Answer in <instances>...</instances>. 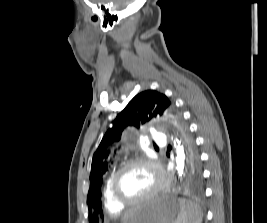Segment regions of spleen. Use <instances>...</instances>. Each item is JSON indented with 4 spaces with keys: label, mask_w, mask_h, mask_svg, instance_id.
Wrapping results in <instances>:
<instances>
[{
    "label": "spleen",
    "mask_w": 267,
    "mask_h": 223,
    "mask_svg": "<svg viewBox=\"0 0 267 223\" xmlns=\"http://www.w3.org/2000/svg\"><path fill=\"white\" fill-rule=\"evenodd\" d=\"M180 214L176 223H202L203 212L198 204L184 198L179 199Z\"/></svg>",
    "instance_id": "spleen-1"
}]
</instances>
